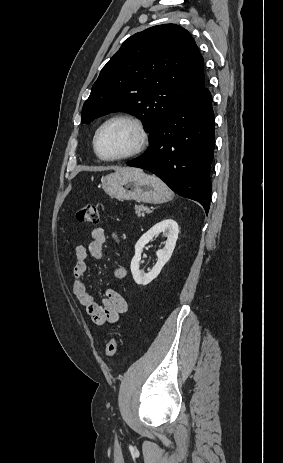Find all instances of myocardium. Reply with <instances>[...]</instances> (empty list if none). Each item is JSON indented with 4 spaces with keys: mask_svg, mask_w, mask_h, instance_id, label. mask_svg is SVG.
<instances>
[{
    "mask_svg": "<svg viewBox=\"0 0 283 463\" xmlns=\"http://www.w3.org/2000/svg\"><path fill=\"white\" fill-rule=\"evenodd\" d=\"M114 122H126L132 125L136 132H137V143L135 147L129 151L128 153L118 155V156H113V157H104L100 154L98 150V139L101 134V132L110 124ZM149 143V135L147 132V129L144 125V123L136 116L130 115V114H120V115H115L109 119H107L105 122H103L98 129L96 130L94 137H93V148L94 152L97 155V157L103 161L106 162H115V161H122V160H128L131 158H134L141 154L148 146Z\"/></svg>",
    "mask_w": 283,
    "mask_h": 463,
    "instance_id": "myocardium-1",
    "label": "myocardium"
}]
</instances>
